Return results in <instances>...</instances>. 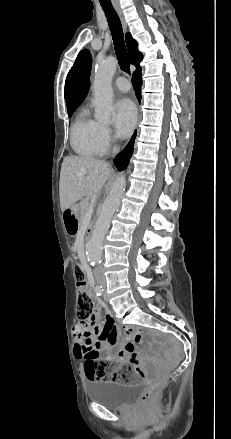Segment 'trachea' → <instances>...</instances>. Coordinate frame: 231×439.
I'll use <instances>...</instances> for the list:
<instances>
[{"instance_id":"3493384b","label":"trachea","mask_w":231,"mask_h":439,"mask_svg":"<svg viewBox=\"0 0 231 439\" xmlns=\"http://www.w3.org/2000/svg\"><path fill=\"white\" fill-rule=\"evenodd\" d=\"M105 16L107 17L108 25L110 27L115 54L118 59L119 66L122 71L130 73V62L128 58L127 49L124 42L123 29L120 19L113 8L111 2H101Z\"/></svg>"}]
</instances>
